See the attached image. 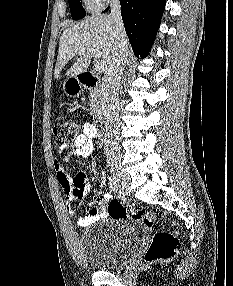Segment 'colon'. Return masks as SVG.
I'll return each instance as SVG.
<instances>
[{
    "mask_svg": "<svg viewBox=\"0 0 233 286\" xmlns=\"http://www.w3.org/2000/svg\"><path fill=\"white\" fill-rule=\"evenodd\" d=\"M79 122L77 118L58 119L54 123L53 134L63 143H72L78 134ZM108 214L115 219L131 218L142 221L146 226L153 227L155 217L152 212L143 211L133 204H122L113 199L107 206ZM180 249L178 238L171 232L159 231L144 255L147 263L166 262L174 258Z\"/></svg>",
    "mask_w": 233,
    "mask_h": 286,
    "instance_id": "1",
    "label": "colon"
}]
</instances>
